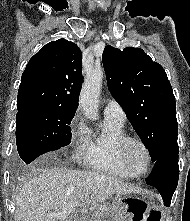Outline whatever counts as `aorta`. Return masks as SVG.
<instances>
[{
    "mask_svg": "<svg viewBox=\"0 0 190 221\" xmlns=\"http://www.w3.org/2000/svg\"><path fill=\"white\" fill-rule=\"evenodd\" d=\"M103 80V72L97 69L89 73L84 81L79 105L84 115L90 120L98 118L99 93Z\"/></svg>",
    "mask_w": 190,
    "mask_h": 221,
    "instance_id": "1",
    "label": "aorta"
}]
</instances>
